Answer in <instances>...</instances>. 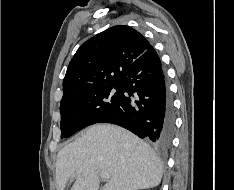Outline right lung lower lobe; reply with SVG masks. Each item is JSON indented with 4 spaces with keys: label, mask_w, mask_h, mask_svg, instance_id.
Segmentation results:
<instances>
[{
    "label": "right lung lower lobe",
    "mask_w": 234,
    "mask_h": 190,
    "mask_svg": "<svg viewBox=\"0 0 234 190\" xmlns=\"http://www.w3.org/2000/svg\"><path fill=\"white\" fill-rule=\"evenodd\" d=\"M117 84L121 91L118 102L98 123L119 125L167 148L174 132L173 106L152 46L125 70Z\"/></svg>",
    "instance_id": "98d812e1"
}]
</instances>
